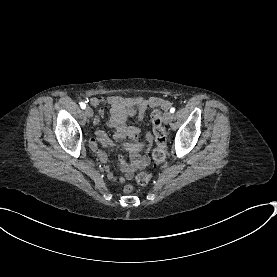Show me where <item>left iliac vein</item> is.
<instances>
[{
    "label": "left iliac vein",
    "instance_id": "1",
    "mask_svg": "<svg viewBox=\"0 0 277 277\" xmlns=\"http://www.w3.org/2000/svg\"><path fill=\"white\" fill-rule=\"evenodd\" d=\"M171 119H172V114H171V112H166V113L164 114V117H163L164 123H165V124H168V123L171 121Z\"/></svg>",
    "mask_w": 277,
    "mask_h": 277
}]
</instances>
